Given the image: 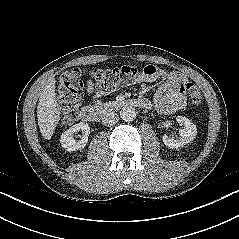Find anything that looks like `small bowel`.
Segmentation results:
<instances>
[{
	"instance_id": "small-bowel-1",
	"label": "small bowel",
	"mask_w": 239,
	"mask_h": 239,
	"mask_svg": "<svg viewBox=\"0 0 239 239\" xmlns=\"http://www.w3.org/2000/svg\"><path fill=\"white\" fill-rule=\"evenodd\" d=\"M164 75V72L155 65H147L137 76L136 82H153ZM184 79L181 75L169 74V81L160 86L156 92L154 103L156 110L161 114H170L184 107ZM86 91L99 98L110 93V90L97 89L92 81L86 84Z\"/></svg>"
}]
</instances>
